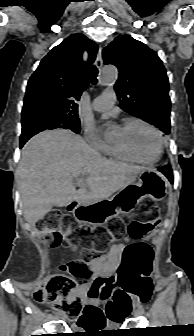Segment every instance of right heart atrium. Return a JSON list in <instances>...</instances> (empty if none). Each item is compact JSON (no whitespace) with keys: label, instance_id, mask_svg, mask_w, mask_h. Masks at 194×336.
Listing matches in <instances>:
<instances>
[{"label":"right heart atrium","instance_id":"d8ad5b80","mask_svg":"<svg viewBox=\"0 0 194 336\" xmlns=\"http://www.w3.org/2000/svg\"><path fill=\"white\" fill-rule=\"evenodd\" d=\"M84 137L93 151L100 153L106 151L108 143L104 141L91 126L84 128Z\"/></svg>","mask_w":194,"mask_h":336}]
</instances>
